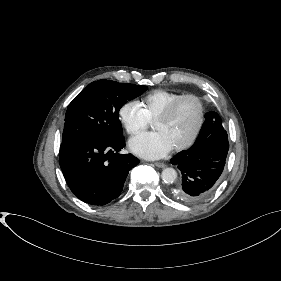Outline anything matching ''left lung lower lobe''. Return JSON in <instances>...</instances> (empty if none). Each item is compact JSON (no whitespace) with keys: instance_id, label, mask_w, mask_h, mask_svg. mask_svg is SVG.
Here are the masks:
<instances>
[{"instance_id":"0a47b994","label":"left lung lower lobe","mask_w":281,"mask_h":281,"mask_svg":"<svg viewBox=\"0 0 281 281\" xmlns=\"http://www.w3.org/2000/svg\"><path fill=\"white\" fill-rule=\"evenodd\" d=\"M210 114L205 115V122L193 146L170 160L182 174L174 192L186 203L207 199L216 189L225 165L229 150L227 133Z\"/></svg>"}]
</instances>
